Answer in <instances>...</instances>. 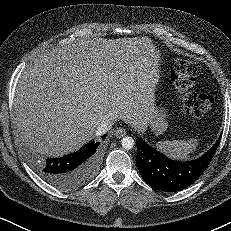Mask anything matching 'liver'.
Segmentation results:
<instances>
[{
    "label": "liver",
    "instance_id": "6515ba94",
    "mask_svg": "<svg viewBox=\"0 0 231 231\" xmlns=\"http://www.w3.org/2000/svg\"><path fill=\"white\" fill-rule=\"evenodd\" d=\"M159 58L148 37L77 39L43 54L16 87L18 132L31 149L60 157L93 139L105 121L145 131L156 108Z\"/></svg>",
    "mask_w": 231,
    "mask_h": 231
}]
</instances>
